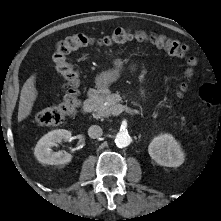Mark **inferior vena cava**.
Wrapping results in <instances>:
<instances>
[{
  "label": "inferior vena cava",
  "mask_w": 221,
  "mask_h": 221,
  "mask_svg": "<svg viewBox=\"0 0 221 221\" xmlns=\"http://www.w3.org/2000/svg\"><path fill=\"white\" fill-rule=\"evenodd\" d=\"M102 134H103L102 128L98 125H92L88 129V135L93 139L101 137Z\"/></svg>",
  "instance_id": "obj_1"
}]
</instances>
